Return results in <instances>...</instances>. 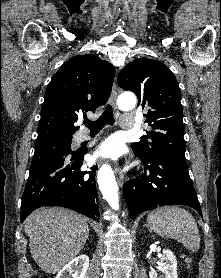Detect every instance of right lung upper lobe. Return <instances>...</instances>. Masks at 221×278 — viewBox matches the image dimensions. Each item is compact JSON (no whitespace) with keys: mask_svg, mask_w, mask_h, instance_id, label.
I'll use <instances>...</instances> for the list:
<instances>
[{"mask_svg":"<svg viewBox=\"0 0 221 278\" xmlns=\"http://www.w3.org/2000/svg\"><path fill=\"white\" fill-rule=\"evenodd\" d=\"M114 76L115 68L95 55L70 58L46 89L36 144L72 137L78 117L107 102Z\"/></svg>","mask_w":221,"mask_h":278,"instance_id":"cb5924a9","label":"right lung upper lobe"}]
</instances>
